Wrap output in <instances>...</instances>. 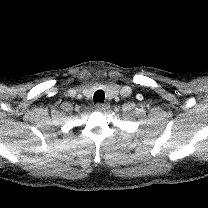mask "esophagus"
I'll return each mask as SVG.
<instances>
[{"label": "esophagus", "instance_id": "esophagus-1", "mask_svg": "<svg viewBox=\"0 0 208 208\" xmlns=\"http://www.w3.org/2000/svg\"><path fill=\"white\" fill-rule=\"evenodd\" d=\"M97 111H104L110 108L109 103H97L95 106Z\"/></svg>", "mask_w": 208, "mask_h": 208}]
</instances>
